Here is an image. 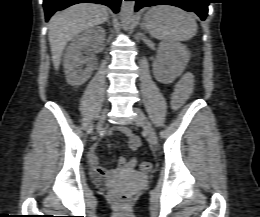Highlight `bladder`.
<instances>
[{"label":"bladder","instance_id":"obj_1","mask_svg":"<svg viewBox=\"0 0 260 217\" xmlns=\"http://www.w3.org/2000/svg\"><path fill=\"white\" fill-rule=\"evenodd\" d=\"M129 177L131 178H139V179H144L145 176L144 175H141L137 172H129Z\"/></svg>","mask_w":260,"mask_h":217}]
</instances>
